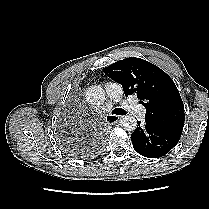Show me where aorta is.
I'll return each instance as SVG.
<instances>
[{
	"instance_id": "obj_1",
	"label": "aorta",
	"mask_w": 209,
	"mask_h": 209,
	"mask_svg": "<svg viewBox=\"0 0 209 209\" xmlns=\"http://www.w3.org/2000/svg\"><path fill=\"white\" fill-rule=\"evenodd\" d=\"M86 99L91 104L100 105L106 99L105 90L99 85H92L86 89ZM120 126L126 131H134L137 121L134 117L125 115L120 120Z\"/></svg>"
}]
</instances>
